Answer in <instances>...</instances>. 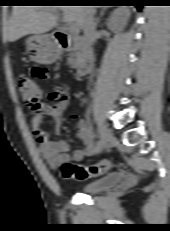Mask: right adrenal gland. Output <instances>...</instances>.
Returning a JSON list of instances; mask_svg holds the SVG:
<instances>
[{"mask_svg": "<svg viewBox=\"0 0 170 231\" xmlns=\"http://www.w3.org/2000/svg\"><path fill=\"white\" fill-rule=\"evenodd\" d=\"M105 10H106V7H103L101 10V13H100V17H97V19H96V26H98L100 24V18L104 15Z\"/></svg>", "mask_w": 170, "mask_h": 231, "instance_id": "1", "label": "right adrenal gland"}]
</instances>
